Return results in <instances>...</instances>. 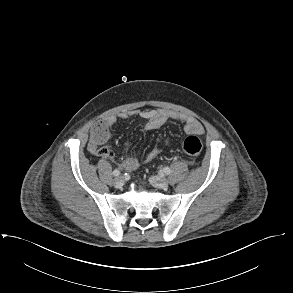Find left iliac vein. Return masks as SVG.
Masks as SVG:
<instances>
[{
	"instance_id": "1",
	"label": "left iliac vein",
	"mask_w": 293,
	"mask_h": 293,
	"mask_svg": "<svg viewBox=\"0 0 293 293\" xmlns=\"http://www.w3.org/2000/svg\"><path fill=\"white\" fill-rule=\"evenodd\" d=\"M149 182L152 186L158 189H166L168 187V181L164 177L151 176Z\"/></svg>"
}]
</instances>
